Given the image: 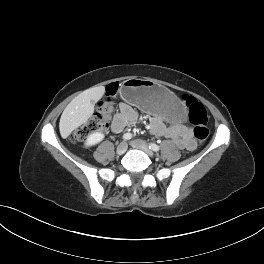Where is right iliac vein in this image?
I'll return each mask as SVG.
<instances>
[{
	"instance_id": "right-iliac-vein-1",
	"label": "right iliac vein",
	"mask_w": 264,
	"mask_h": 264,
	"mask_svg": "<svg viewBox=\"0 0 264 264\" xmlns=\"http://www.w3.org/2000/svg\"><path fill=\"white\" fill-rule=\"evenodd\" d=\"M127 150V143L126 142H121L117 148H116V153L117 155H123Z\"/></svg>"
}]
</instances>
